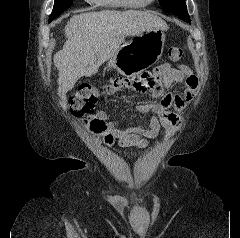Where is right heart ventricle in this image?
<instances>
[{
	"label": "right heart ventricle",
	"instance_id": "e07e8e85",
	"mask_svg": "<svg viewBox=\"0 0 240 238\" xmlns=\"http://www.w3.org/2000/svg\"><path fill=\"white\" fill-rule=\"evenodd\" d=\"M94 3L106 7V8H112V9H118L126 7L124 6L120 0H93Z\"/></svg>",
	"mask_w": 240,
	"mask_h": 238
}]
</instances>
